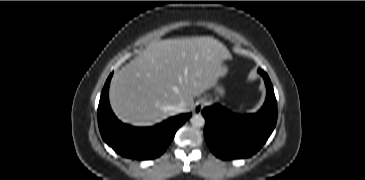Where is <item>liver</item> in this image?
<instances>
[{"label": "liver", "mask_w": 365, "mask_h": 180, "mask_svg": "<svg viewBox=\"0 0 365 180\" xmlns=\"http://www.w3.org/2000/svg\"><path fill=\"white\" fill-rule=\"evenodd\" d=\"M228 49L209 36L156 41L112 78L110 104L119 119L136 126H150L176 114L185 103L214 86Z\"/></svg>", "instance_id": "obj_1"}]
</instances>
